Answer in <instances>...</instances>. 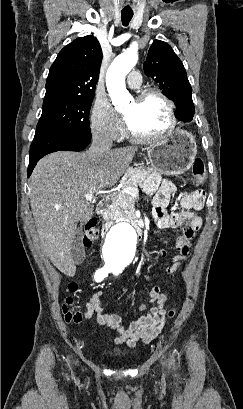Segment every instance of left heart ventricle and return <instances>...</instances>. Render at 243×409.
I'll use <instances>...</instances> for the list:
<instances>
[{
	"instance_id": "b2bd125f",
	"label": "left heart ventricle",
	"mask_w": 243,
	"mask_h": 409,
	"mask_svg": "<svg viewBox=\"0 0 243 409\" xmlns=\"http://www.w3.org/2000/svg\"><path fill=\"white\" fill-rule=\"evenodd\" d=\"M123 116L129 127L140 135L159 133L169 123L166 106L156 97L141 102L133 99L124 109Z\"/></svg>"
}]
</instances>
